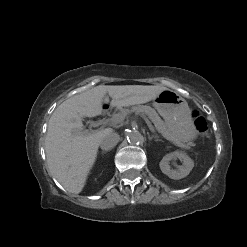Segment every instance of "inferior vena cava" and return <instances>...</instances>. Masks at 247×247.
I'll return each instance as SVG.
<instances>
[{"instance_id": "602c4592", "label": "inferior vena cava", "mask_w": 247, "mask_h": 247, "mask_svg": "<svg viewBox=\"0 0 247 247\" xmlns=\"http://www.w3.org/2000/svg\"><path fill=\"white\" fill-rule=\"evenodd\" d=\"M119 140L120 137L117 133H106L100 140V147L102 150L109 151L117 145Z\"/></svg>"}]
</instances>
